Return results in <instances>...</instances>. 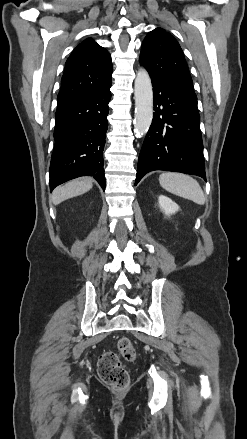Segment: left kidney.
I'll use <instances>...</instances> for the list:
<instances>
[{
  "label": "left kidney",
  "instance_id": "1",
  "mask_svg": "<svg viewBox=\"0 0 247 439\" xmlns=\"http://www.w3.org/2000/svg\"><path fill=\"white\" fill-rule=\"evenodd\" d=\"M159 207L166 216L175 214L179 210V206L164 195L159 196Z\"/></svg>",
  "mask_w": 247,
  "mask_h": 439
}]
</instances>
